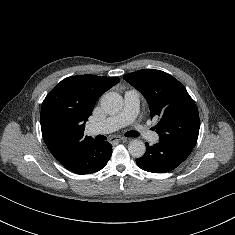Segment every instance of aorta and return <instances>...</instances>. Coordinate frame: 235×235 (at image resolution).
I'll use <instances>...</instances> for the list:
<instances>
[{"label":"aorta","mask_w":235,"mask_h":235,"mask_svg":"<svg viewBox=\"0 0 235 235\" xmlns=\"http://www.w3.org/2000/svg\"><path fill=\"white\" fill-rule=\"evenodd\" d=\"M101 108L110 115L118 113L123 106L122 97L116 92H108L101 98ZM128 151L134 158L142 157L146 152V146L143 141L134 139L128 145Z\"/></svg>","instance_id":"obj_1"}]
</instances>
